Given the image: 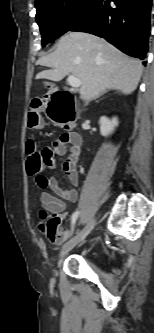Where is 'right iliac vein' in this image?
<instances>
[{"instance_id":"right-iliac-vein-1","label":"right iliac vein","mask_w":154,"mask_h":333,"mask_svg":"<svg viewBox=\"0 0 154 333\" xmlns=\"http://www.w3.org/2000/svg\"><path fill=\"white\" fill-rule=\"evenodd\" d=\"M96 224V221L91 220L79 233H77L70 241H68L60 251V257L66 255L69 251H71L77 244L83 241L87 235L92 231Z\"/></svg>"}]
</instances>
